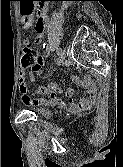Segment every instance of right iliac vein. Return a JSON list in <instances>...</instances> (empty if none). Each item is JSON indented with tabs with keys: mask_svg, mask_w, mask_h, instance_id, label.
Instances as JSON below:
<instances>
[{
	"mask_svg": "<svg viewBox=\"0 0 123 167\" xmlns=\"http://www.w3.org/2000/svg\"><path fill=\"white\" fill-rule=\"evenodd\" d=\"M65 59V50H61V53L59 55L58 65H61Z\"/></svg>",
	"mask_w": 123,
	"mask_h": 167,
	"instance_id": "1",
	"label": "right iliac vein"
}]
</instances>
